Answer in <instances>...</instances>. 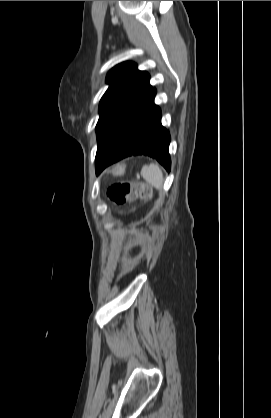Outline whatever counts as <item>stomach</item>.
I'll use <instances>...</instances> for the list:
<instances>
[{
  "mask_svg": "<svg viewBox=\"0 0 271 418\" xmlns=\"http://www.w3.org/2000/svg\"><path fill=\"white\" fill-rule=\"evenodd\" d=\"M126 166L124 164H117L111 170L110 173L114 176H123Z\"/></svg>",
  "mask_w": 271,
  "mask_h": 418,
  "instance_id": "obj_1",
  "label": "stomach"
}]
</instances>
